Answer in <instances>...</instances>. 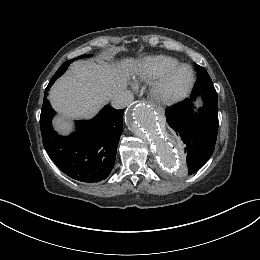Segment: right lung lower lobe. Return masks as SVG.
<instances>
[{"label":"right lung lower lobe","instance_id":"98d812e1","mask_svg":"<svg viewBox=\"0 0 260 260\" xmlns=\"http://www.w3.org/2000/svg\"><path fill=\"white\" fill-rule=\"evenodd\" d=\"M44 94L40 128L44 147L55 165L69 177L86 183L107 178L116 159L119 138L123 131L124 110L105 106L93 119L77 121L74 134L63 137L51 126L55 114Z\"/></svg>","mask_w":260,"mask_h":260}]
</instances>
